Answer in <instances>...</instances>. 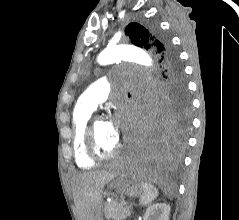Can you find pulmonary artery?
I'll return each mask as SVG.
<instances>
[{
  "label": "pulmonary artery",
  "instance_id": "pulmonary-artery-1",
  "mask_svg": "<svg viewBox=\"0 0 239 220\" xmlns=\"http://www.w3.org/2000/svg\"><path fill=\"white\" fill-rule=\"evenodd\" d=\"M110 92V83L107 79L101 78L91 84L79 97L78 102L93 110L107 100Z\"/></svg>",
  "mask_w": 239,
  "mask_h": 220
}]
</instances>
